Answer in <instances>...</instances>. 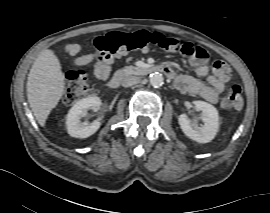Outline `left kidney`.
I'll return each instance as SVG.
<instances>
[{
  "instance_id": "5707ae66",
  "label": "left kidney",
  "mask_w": 270,
  "mask_h": 213,
  "mask_svg": "<svg viewBox=\"0 0 270 213\" xmlns=\"http://www.w3.org/2000/svg\"><path fill=\"white\" fill-rule=\"evenodd\" d=\"M193 104L202 112L204 124L198 126L186 114H181L178 118L180 128L190 139L199 143H208L214 139L219 129L218 111L213 105L204 101H194Z\"/></svg>"
}]
</instances>
